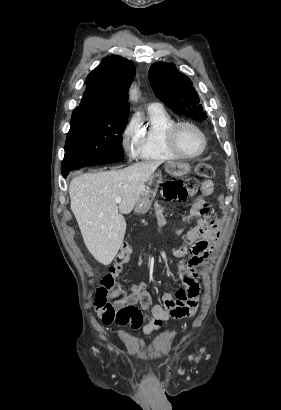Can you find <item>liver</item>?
Returning <instances> with one entry per match:
<instances>
[{
    "mask_svg": "<svg viewBox=\"0 0 281 410\" xmlns=\"http://www.w3.org/2000/svg\"><path fill=\"white\" fill-rule=\"evenodd\" d=\"M160 164L144 161L120 170L85 173L70 182L71 211L87 249L101 264L109 265L118 253L126 231L123 214L133 210ZM116 197H121L118 206Z\"/></svg>",
    "mask_w": 281,
    "mask_h": 410,
    "instance_id": "6515ba94",
    "label": "liver"
}]
</instances>
